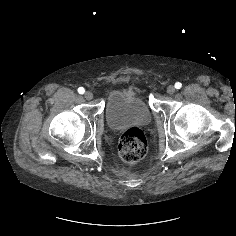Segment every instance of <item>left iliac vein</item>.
<instances>
[{
	"label": "left iliac vein",
	"instance_id": "1",
	"mask_svg": "<svg viewBox=\"0 0 236 236\" xmlns=\"http://www.w3.org/2000/svg\"><path fill=\"white\" fill-rule=\"evenodd\" d=\"M174 92H175V87L174 86L170 85V86L167 87V93L168 94L172 95V94H174Z\"/></svg>",
	"mask_w": 236,
	"mask_h": 236
}]
</instances>
